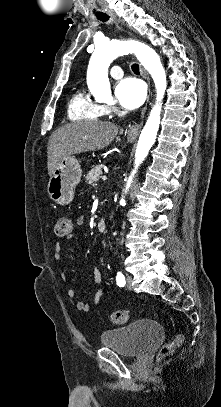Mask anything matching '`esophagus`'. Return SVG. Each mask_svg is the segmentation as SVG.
Returning <instances> with one entry per match:
<instances>
[{
    "label": "esophagus",
    "mask_w": 221,
    "mask_h": 407,
    "mask_svg": "<svg viewBox=\"0 0 221 407\" xmlns=\"http://www.w3.org/2000/svg\"><path fill=\"white\" fill-rule=\"evenodd\" d=\"M107 14L109 15V17L111 18V20H112L114 23H119L118 19L116 18V16H115L112 12L108 11ZM141 71H142V74H143L144 78H145V79L147 80V82L149 83V82H150V79H149L148 73H147L146 70H144L143 68H141ZM150 95H151V91H150V89H149V91H148V96H147V103L149 102V97H150ZM147 103H146L145 107L142 109V117L144 116V114H145V112H146ZM141 126H142V122H140V123H138V124H133V125L128 129V131H127L128 137H134V136H136V135L139 133V131H140V129H141Z\"/></svg>",
    "instance_id": "34e87169"
}]
</instances>
